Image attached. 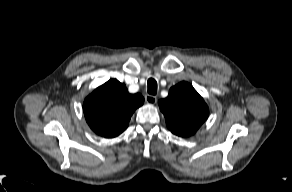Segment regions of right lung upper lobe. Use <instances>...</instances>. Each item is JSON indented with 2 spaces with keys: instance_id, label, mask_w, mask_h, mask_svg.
Instances as JSON below:
<instances>
[{
  "instance_id": "1",
  "label": "right lung upper lobe",
  "mask_w": 292,
  "mask_h": 192,
  "mask_svg": "<svg viewBox=\"0 0 292 192\" xmlns=\"http://www.w3.org/2000/svg\"><path fill=\"white\" fill-rule=\"evenodd\" d=\"M144 102L141 94H129L116 79L96 88L84 101L83 111L90 128L100 136L113 138L129 125L136 108Z\"/></svg>"
}]
</instances>
